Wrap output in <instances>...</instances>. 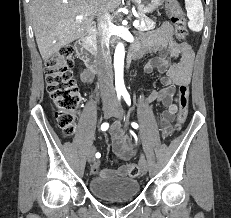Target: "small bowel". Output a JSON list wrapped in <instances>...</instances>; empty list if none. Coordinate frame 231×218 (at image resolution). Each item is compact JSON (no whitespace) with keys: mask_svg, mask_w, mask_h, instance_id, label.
Returning <instances> with one entry per match:
<instances>
[{"mask_svg":"<svg viewBox=\"0 0 231 218\" xmlns=\"http://www.w3.org/2000/svg\"><path fill=\"white\" fill-rule=\"evenodd\" d=\"M138 53L139 57L146 54H158L145 65V73L149 74L155 69L159 73H167L161 78L164 88L153 90L145 100L146 105L158 101L166 107V110L159 116V125L162 136L167 137L172 133V119L178 111L180 88L190 83L194 52L188 44L175 41L171 24L164 22L158 29L143 37L142 48ZM167 55L170 56L171 61L168 60ZM80 79L90 84L93 76L89 71H85ZM110 134L115 155L121 160L130 159L135 150L118 123L111 127ZM99 167L100 161L96 160L91 164L90 170L92 173H97ZM100 174L102 176H125L126 166H120L116 170H102Z\"/></svg>","mask_w":231,"mask_h":218,"instance_id":"obj_1","label":"small bowel"}]
</instances>
